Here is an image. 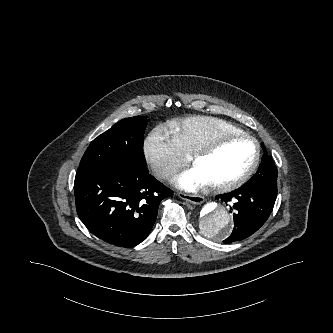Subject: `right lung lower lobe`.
<instances>
[{
  "mask_svg": "<svg viewBox=\"0 0 333 333\" xmlns=\"http://www.w3.org/2000/svg\"><path fill=\"white\" fill-rule=\"evenodd\" d=\"M74 191L78 216L87 229L99 239L125 248L147 238L160 202L173 195L148 169L107 165L79 167Z\"/></svg>",
  "mask_w": 333,
  "mask_h": 333,
  "instance_id": "98d812e1",
  "label": "right lung lower lobe"
}]
</instances>
